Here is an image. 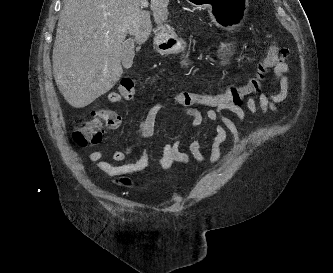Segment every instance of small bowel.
I'll return each instance as SVG.
<instances>
[{
    "instance_id": "small-bowel-1",
    "label": "small bowel",
    "mask_w": 333,
    "mask_h": 273,
    "mask_svg": "<svg viewBox=\"0 0 333 273\" xmlns=\"http://www.w3.org/2000/svg\"><path fill=\"white\" fill-rule=\"evenodd\" d=\"M276 55L278 61L274 63L273 73L274 80L273 86L277 91H269L267 93L261 92L257 98L245 97L246 103L242 105L241 109H206L204 112L195 108L184 109L183 104L176 102L180 105V113L185 116L194 125H200L204 117L215 122V136L210 146V156L207 159L200 151V140L194 139L189 145V152H184L180 149V140L182 134L169 139L163 146L162 158L160 164L161 172H166L173 162H178L187 168L192 166V160L201 166H213L220 157V145L226 140L227 135L232 137L231 153H234L240 143V133L237 124L226 115V111L231 112L238 120L239 123L244 124L246 120V111L252 115L261 113L264 116L269 114H280L279 104L283 103L288 96L291 82L287 77L289 67L286 62L288 57V50L285 48H278ZM207 94V93H197ZM219 94H229L227 90ZM111 103L131 102V95H119L117 92H112L108 96ZM169 108V103L158 102L147 109L146 115L139 122V132L143 139L149 140L154 135V128L156 120L160 114ZM120 120L111 126V129H118L120 127ZM132 148L124 150H117L112 153V160L114 162H122L132 154ZM104 152L101 150H94L88 155V159L92 162H97L98 167L107 174L116 177L117 181L128 185V179L124 178L125 175L141 173L149 163V149L145 147L140 157L130 163L114 164L104 159Z\"/></svg>"
}]
</instances>
